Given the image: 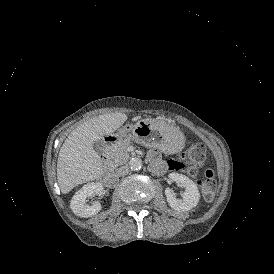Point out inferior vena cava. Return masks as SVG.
<instances>
[{
  "label": "inferior vena cava",
  "mask_w": 274,
  "mask_h": 274,
  "mask_svg": "<svg viewBox=\"0 0 274 274\" xmlns=\"http://www.w3.org/2000/svg\"><path fill=\"white\" fill-rule=\"evenodd\" d=\"M128 173H129V167L126 165L121 166L117 171L118 176H124V175H127Z\"/></svg>",
  "instance_id": "602c4592"
}]
</instances>
